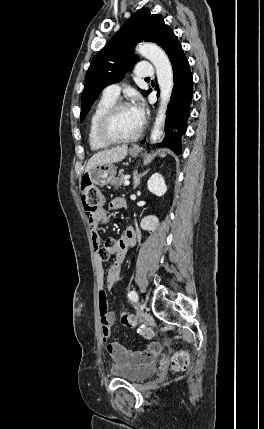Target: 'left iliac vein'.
<instances>
[{"label":"left iliac vein","instance_id":"4c4485c4","mask_svg":"<svg viewBox=\"0 0 264 429\" xmlns=\"http://www.w3.org/2000/svg\"><path fill=\"white\" fill-rule=\"evenodd\" d=\"M138 309H139V313H142V312H143V309H144L143 305H142V304H139V305H138Z\"/></svg>","mask_w":264,"mask_h":429}]
</instances>
